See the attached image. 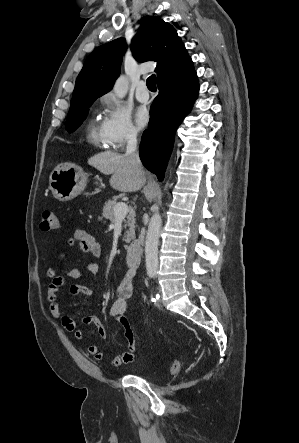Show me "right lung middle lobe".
Segmentation results:
<instances>
[{"mask_svg":"<svg viewBox=\"0 0 299 443\" xmlns=\"http://www.w3.org/2000/svg\"><path fill=\"white\" fill-rule=\"evenodd\" d=\"M93 102L94 101L85 102L83 104L70 108L66 122V128L68 132L72 133L77 129V127L80 126L82 121L86 118L88 108L92 105Z\"/></svg>","mask_w":299,"mask_h":443,"instance_id":"dd1d6c3e","label":"right lung middle lobe"}]
</instances>
